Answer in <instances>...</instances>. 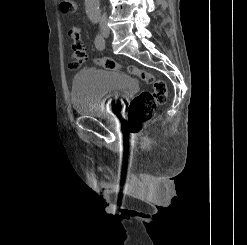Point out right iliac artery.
<instances>
[{
    "label": "right iliac artery",
    "mask_w": 247,
    "mask_h": 245,
    "mask_svg": "<svg viewBox=\"0 0 247 245\" xmlns=\"http://www.w3.org/2000/svg\"><path fill=\"white\" fill-rule=\"evenodd\" d=\"M95 46L98 50H104L105 40L101 34H97V36L95 38Z\"/></svg>",
    "instance_id": "obj_1"
}]
</instances>
